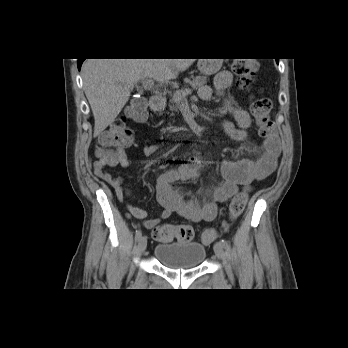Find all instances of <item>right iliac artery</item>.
<instances>
[{"instance_id":"obj_1","label":"right iliac artery","mask_w":348,"mask_h":348,"mask_svg":"<svg viewBox=\"0 0 348 348\" xmlns=\"http://www.w3.org/2000/svg\"><path fill=\"white\" fill-rule=\"evenodd\" d=\"M141 236H142L141 230H137V231H136V234H135L136 240H139V238H140Z\"/></svg>"}]
</instances>
